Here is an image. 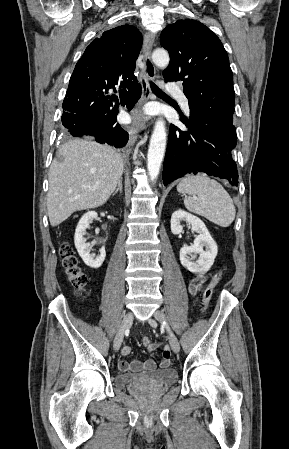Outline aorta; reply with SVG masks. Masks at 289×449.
Segmentation results:
<instances>
[{
	"label": "aorta",
	"mask_w": 289,
	"mask_h": 449,
	"mask_svg": "<svg viewBox=\"0 0 289 449\" xmlns=\"http://www.w3.org/2000/svg\"><path fill=\"white\" fill-rule=\"evenodd\" d=\"M152 60L159 68H166L169 64V54L164 49H156L152 53ZM166 148V129L163 119H158L155 123L150 139L147 154V169L150 179L154 181L160 172Z\"/></svg>",
	"instance_id": "762f6f07"
}]
</instances>
